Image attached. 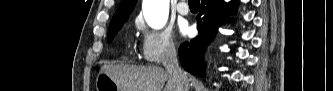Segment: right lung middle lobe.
Instances as JSON below:
<instances>
[{
	"label": "right lung middle lobe",
	"mask_w": 333,
	"mask_h": 91,
	"mask_svg": "<svg viewBox=\"0 0 333 91\" xmlns=\"http://www.w3.org/2000/svg\"><path fill=\"white\" fill-rule=\"evenodd\" d=\"M128 20V18H122L115 21H111L108 31V42H111L117 32L121 29L123 24Z\"/></svg>",
	"instance_id": "obj_1"
}]
</instances>
